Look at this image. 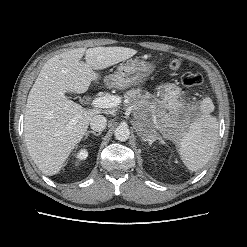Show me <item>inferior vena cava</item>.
Listing matches in <instances>:
<instances>
[{
  "label": "inferior vena cava",
  "instance_id": "inferior-vena-cava-1",
  "mask_svg": "<svg viewBox=\"0 0 247 247\" xmlns=\"http://www.w3.org/2000/svg\"><path fill=\"white\" fill-rule=\"evenodd\" d=\"M107 125V119L103 115H95L90 120V127L98 132L105 129Z\"/></svg>",
  "mask_w": 247,
  "mask_h": 247
}]
</instances>
